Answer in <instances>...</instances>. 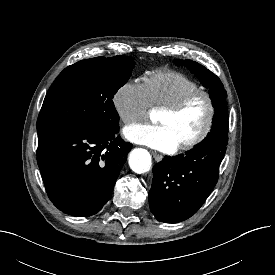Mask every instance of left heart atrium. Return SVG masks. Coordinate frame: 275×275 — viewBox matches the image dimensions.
<instances>
[{
  "mask_svg": "<svg viewBox=\"0 0 275 275\" xmlns=\"http://www.w3.org/2000/svg\"><path fill=\"white\" fill-rule=\"evenodd\" d=\"M124 135L132 142L165 152H171L179 145L171 130L163 124L131 125L124 129Z\"/></svg>",
  "mask_w": 275,
  "mask_h": 275,
  "instance_id": "39dd6f15",
  "label": "left heart atrium"
}]
</instances>
